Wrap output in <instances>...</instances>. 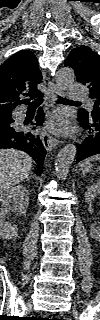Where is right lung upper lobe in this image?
<instances>
[{"label":"right lung upper lobe","mask_w":100,"mask_h":320,"mask_svg":"<svg viewBox=\"0 0 100 320\" xmlns=\"http://www.w3.org/2000/svg\"><path fill=\"white\" fill-rule=\"evenodd\" d=\"M42 74L35 55L29 50H21L0 66V120L11 118L12 110L29 99L40 97L36 85Z\"/></svg>","instance_id":"right-lung-upper-lobe-1"}]
</instances>
